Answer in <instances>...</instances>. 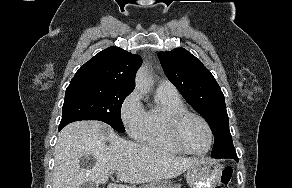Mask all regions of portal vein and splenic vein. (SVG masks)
<instances>
[{
	"mask_svg": "<svg viewBox=\"0 0 292 188\" xmlns=\"http://www.w3.org/2000/svg\"><path fill=\"white\" fill-rule=\"evenodd\" d=\"M117 171H124V168L115 169Z\"/></svg>",
	"mask_w": 292,
	"mask_h": 188,
	"instance_id": "18ae733b",
	"label": "portal vein and splenic vein"
}]
</instances>
